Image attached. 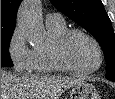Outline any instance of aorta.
<instances>
[{
    "instance_id": "aorta-1",
    "label": "aorta",
    "mask_w": 115,
    "mask_h": 99,
    "mask_svg": "<svg viewBox=\"0 0 115 99\" xmlns=\"http://www.w3.org/2000/svg\"><path fill=\"white\" fill-rule=\"evenodd\" d=\"M17 26L30 43L36 45L44 41L46 31L41 20L40 0H27L22 4Z\"/></svg>"
}]
</instances>
